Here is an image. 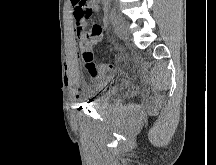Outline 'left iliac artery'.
Returning <instances> with one entry per match:
<instances>
[{
  "label": "left iliac artery",
  "instance_id": "44dca946",
  "mask_svg": "<svg viewBox=\"0 0 216 165\" xmlns=\"http://www.w3.org/2000/svg\"><path fill=\"white\" fill-rule=\"evenodd\" d=\"M117 13L115 9H112L111 13H110V19L113 25H115V22L117 20Z\"/></svg>",
  "mask_w": 216,
  "mask_h": 165
}]
</instances>
